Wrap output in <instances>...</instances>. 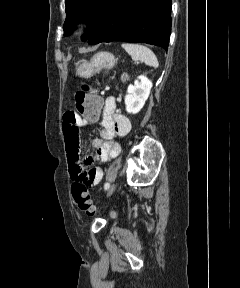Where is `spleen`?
<instances>
[{
	"label": "spleen",
	"mask_w": 240,
	"mask_h": 288,
	"mask_svg": "<svg viewBox=\"0 0 240 288\" xmlns=\"http://www.w3.org/2000/svg\"><path fill=\"white\" fill-rule=\"evenodd\" d=\"M122 47L132 57L133 60H140L146 65L157 68L159 66L156 55L151 49L144 45L123 43Z\"/></svg>",
	"instance_id": "spleen-1"
}]
</instances>
